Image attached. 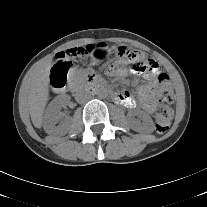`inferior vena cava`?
Returning a JSON list of instances; mask_svg holds the SVG:
<instances>
[{"mask_svg":"<svg viewBox=\"0 0 207 207\" xmlns=\"http://www.w3.org/2000/svg\"><path fill=\"white\" fill-rule=\"evenodd\" d=\"M89 99H90V96H89V95H85V96H80V97L78 98V101H79L80 103H84V102H87Z\"/></svg>","mask_w":207,"mask_h":207,"instance_id":"inferior-vena-cava-1","label":"inferior vena cava"}]
</instances>
